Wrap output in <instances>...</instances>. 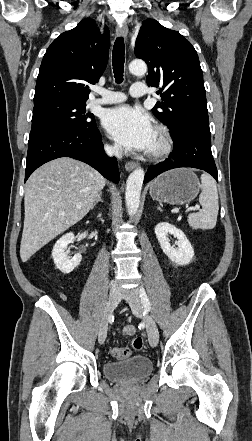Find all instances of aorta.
<instances>
[{
	"instance_id": "aorta-1",
	"label": "aorta",
	"mask_w": 252,
	"mask_h": 441,
	"mask_svg": "<svg viewBox=\"0 0 252 441\" xmlns=\"http://www.w3.org/2000/svg\"><path fill=\"white\" fill-rule=\"evenodd\" d=\"M129 71L134 75H143L147 71V65L143 60H133L129 64ZM144 175V170L139 167L136 168L127 179L125 201L130 216L136 214L138 211Z\"/></svg>"
}]
</instances>
